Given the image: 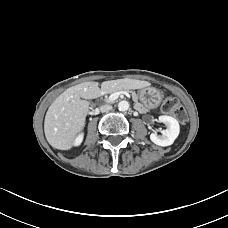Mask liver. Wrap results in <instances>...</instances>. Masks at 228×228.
Wrapping results in <instances>:
<instances>
[{
	"label": "liver",
	"instance_id": "obj_1",
	"mask_svg": "<svg viewBox=\"0 0 228 228\" xmlns=\"http://www.w3.org/2000/svg\"><path fill=\"white\" fill-rule=\"evenodd\" d=\"M126 84L131 89H141L150 85L141 80H111L102 83L83 82L61 93L47 110L44 132L48 143L59 150H69L85 125L89 111L87 99H94L111 90H119Z\"/></svg>",
	"mask_w": 228,
	"mask_h": 228
}]
</instances>
